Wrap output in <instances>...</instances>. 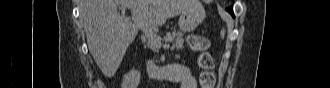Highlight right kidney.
I'll use <instances>...</instances> for the list:
<instances>
[{"label": "right kidney", "instance_id": "ca27d5eb", "mask_svg": "<svg viewBox=\"0 0 330 88\" xmlns=\"http://www.w3.org/2000/svg\"><path fill=\"white\" fill-rule=\"evenodd\" d=\"M141 73L138 70H130L122 81V88H137L140 83Z\"/></svg>", "mask_w": 330, "mask_h": 88}]
</instances>
